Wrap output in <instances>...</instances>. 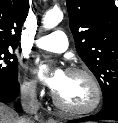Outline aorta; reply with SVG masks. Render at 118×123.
Instances as JSON below:
<instances>
[{
  "label": "aorta",
  "instance_id": "aorta-1",
  "mask_svg": "<svg viewBox=\"0 0 118 123\" xmlns=\"http://www.w3.org/2000/svg\"><path fill=\"white\" fill-rule=\"evenodd\" d=\"M63 18V13L58 8L49 10L43 18V27L45 29H52L56 27Z\"/></svg>",
  "mask_w": 118,
  "mask_h": 123
}]
</instances>
